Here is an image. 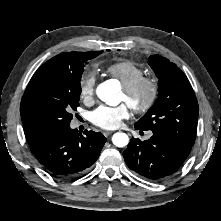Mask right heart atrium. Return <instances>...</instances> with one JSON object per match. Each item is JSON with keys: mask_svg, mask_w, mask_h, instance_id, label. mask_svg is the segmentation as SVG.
Here are the masks:
<instances>
[{"mask_svg": "<svg viewBox=\"0 0 221 221\" xmlns=\"http://www.w3.org/2000/svg\"><path fill=\"white\" fill-rule=\"evenodd\" d=\"M96 74L94 71H86L79 82V93L83 100H89L94 95Z\"/></svg>", "mask_w": 221, "mask_h": 221, "instance_id": "d8ad5b80", "label": "right heart atrium"}]
</instances>
